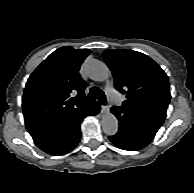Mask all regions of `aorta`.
<instances>
[{"label": "aorta", "instance_id": "762f6f07", "mask_svg": "<svg viewBox=\"0 0 194 193\" xmlns=\"http://www.w3.org/2000/svg\"><path fill=\"white\" fill-rule=\"evenodd\" d=\"M85 71L88 77L95 81H104L110 76V70L107 65L96 59L86 62ZM101 124L104 133L107 135H115L118 131V120L111 113L103 115Z\"/></svg>", "mask_w": 194, "mask_h": 193}]
</instances>
